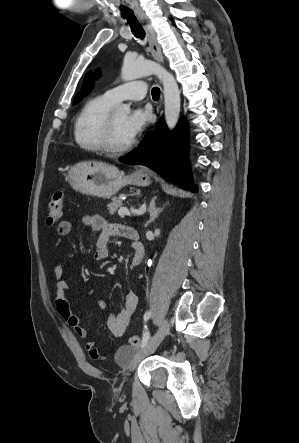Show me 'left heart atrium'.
I'll return each mask as SVG.
<instances>
[{"instance_id":"39dd6f15","label":"left heart atrium","mask_w":299,"mask_h":443,"mask_svg":"<svg viewBox=\"0 0 299 443\" xmlns=\"http://www.w3.org/2000/svg\"><path fill=\"white\" fill-rule=\"evenodd\" d=\"M148 121L149 113L147 110L141 108L134 109L124 121V131L133 140L144 130Z\"/></svg>"}]
</instances>
